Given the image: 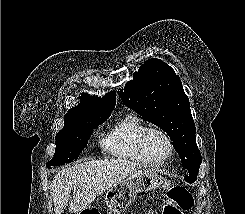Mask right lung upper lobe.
Wrapping results in <instances>:
<instances>
[{"label":"right lung upper lobe","mask_w":245,"mask_h":214,"mask_svg":"<svg viewBox=\"0 0 245 214\" xmlns=\"http://www.w3.org/2000/svg\"><path fill=\"white\" fill-rule=\"evenodd\" d=\"M80 99V104L68 110V113L65 115V124L62 130L66 129L75 117L88 114H110L116 104V93L111 91L102 98L83 93Z\"/></svg>","instance_id":"1"}]
</instances>
